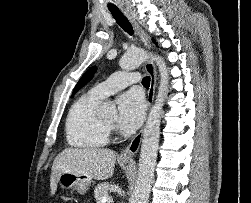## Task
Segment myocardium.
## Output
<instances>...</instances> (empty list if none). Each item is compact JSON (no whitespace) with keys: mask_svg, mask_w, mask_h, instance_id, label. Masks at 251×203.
I'll list each match as a JSON object with an SVG mask.
<instances>
[{"mask_svg":"<svg viewBox=\"0 0 251 203\" xmlns=\"http://www.w3.org/2000/svg\"><path fill=\"white\" fill-rule=\"evenodd\" d=\"M105 123V125L107 126V127H112V124L111 123H108V122H104Z\"/></svg>","mask_w":251,"mask_h":203,"instance_id":"1","label":"myocardium"}]
</instances>
